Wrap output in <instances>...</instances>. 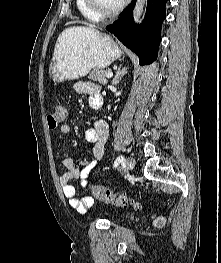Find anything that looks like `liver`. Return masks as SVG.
I'll return each instance as SVG.
<instances>
[{
	"instance_id": "liver-1",
	"label": "liver",
	"mask_w": 221,
	"mask_h": 263,
	"mask_svg": "<svg viewBox=\"0 0 221 263\" xmlns=\"http://www.w3.org/2000/svg\"><path fill=\"white\" fill-rule=\"evenodd\" d=\"M74 23H82V24L87 25L86 27H83V28L86 29V30H95V29H94V28H95V25L87 24V23H85V22L71 21V22H68L66 25H68V24H74Z\"/></svg>"
}]
</instances>
